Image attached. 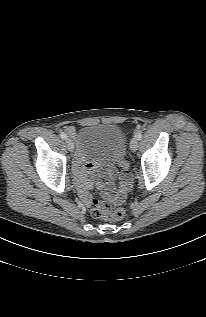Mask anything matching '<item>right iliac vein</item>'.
Wrapping results in <instances>:
<instances>
[{
    "label": "right iliac vein",
    "mask_w": 206,
    "mask_h": 317,
    "mask_svg": "<svg viewBox=\"0 0 206 317\" xmlns=\"http://www.w3.org/2000/svg\"><path fill=\"white\" fill-rule=\"evenodd\" d=\"M66 146L69 151L73 152L74 150V144L70 139H66Z\"/></svg>",
    "instance_id": "obj_1"
}]
</instances>
